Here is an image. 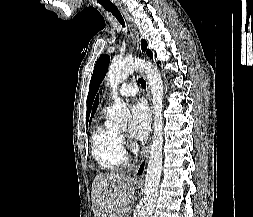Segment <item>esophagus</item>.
I'll list each match as a JSON object with an SVG mask.
<instances>
[{
    "instance_id": "1",
    "label": "esophagus",
    "mask_w": 253,
    "mask_h": 217,
    "mask_svg": "<svg viewBox=\"0 0 253 217\" xmlns=\"http://www.w3.org/2000/svg\"><path fill=\"white\" fill-rule=\"evenodd\" d=\"M122 12L125 15L128 23H129L130 35H131L133 45L136 48V50H139L140 42H139L136 26L133 23V20L130 17V15L127 13V11L122 9ZM143 76L146 79V83H147V97H148L150 108H151L150 114H151V121H152L153 120V110H152V103H151L152 99H151L150 85H149V82H148L146 76L144 75V73H143ZM150 143H151V138H150L149 144L144 148V150L142 152V158H141L140 162L138 163V165L136 166V168L134 170V178L135 179L142 180L144 178L146 166H147V162H148V158H149L150 148H151Z\"/></svg>"
}]
</instances>
